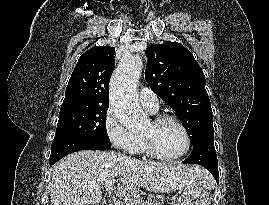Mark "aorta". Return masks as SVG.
<instances>
[{
  "label": "aorta",
  "mask_w": 269,
  "mask_h": 205,
  "mask_svg": "<svg viewBox=\"0 0 269 205\" xmlns=\"http://www.w3.org/2000/svg\"><path fill=\"white\" fill-rule=\"evenodd\" d=\"M143 69L137 55L124 56L110 82V103L116 119L129 128H139L145 121L136 94V86Z\"/></svg>",
  "instance_id": "obj_1"
}]
</instances>
